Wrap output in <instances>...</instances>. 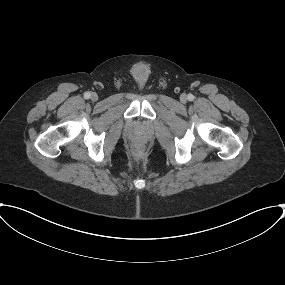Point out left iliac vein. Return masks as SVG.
I'll list each match as a JSON object with an SVG mask.
<instances>
[{"instance_id": "obj_1", "label": "left iliac vein", "mask_w": 285, "mask_h": 285, "mask_svg": "<svg viewBox=\"0 0 285 285\" xmlns=\"http://www.w3.org/2000/svg\"><path fill=\"white\" fill-rule=\"evenodd\" d=\"M180 100L181 102L185 103L187 101V96L185 94H182Z\"/></svg>"}]
</instances>
